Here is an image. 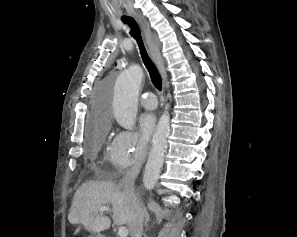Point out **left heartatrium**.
<instances>
[{
    "label": "left heart atrium",
    "instance_id": "left-heart-atrium-1",
    "mask_svg": "<svg viewBox=\"0 0 297 237\" xmlns=\"http://www.w3.org/2000/svg\"><path fill=\"white\" fill-rule=\"evenodd\" d=\"M156 118L153 113H145L140 117V129L142 136L149 139L155 131Z\"/></svg>",
    "mask_w": 297,
    "mask_h": 237
}]
</instances>
